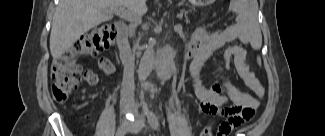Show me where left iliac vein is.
I'll return each instance as SVG.
<instances>
[{
    "label": "left iliac vein",
    "mask_w": 325,
    "mask_h": 136,
    "mask_svg": "<svg viewBox=\"0 0 325 136\" xmlns=\"http://www.w3.org/2000/svg\"><path fill=\"white\" fill-rule=\"evenodd\" d=\"M145 127V124H144V119L143 118H141V119H139V120H137L136 122H135V124L133 125V127L131 128V131L132 132H139L142 128H144Z\"/></svg>",
    "instance_id": "obj_1"
}]
</instances>
